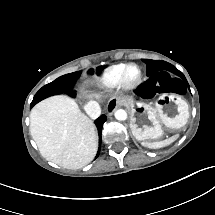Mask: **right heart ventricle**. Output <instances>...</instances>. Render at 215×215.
<instances>
[{"instance_id": "1", "label": "right heart ventricle", "mask_w": 215, "mask_h": 215, "mask_svg": "<svg viewBox=\"0 0 215 215\" xmlns=\"http://www.w3.org/2000/svg\"><path fill=\"white\" fill-rule=\"evenodd\" d=\"M123 64H117L107 67L100 75L95 77V81L104 87H110L118 74L122 71Z\"/></svg>"}]
</instances>
